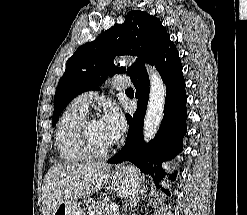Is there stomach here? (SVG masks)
<instances>
[{
  "label": "stomach",
  "instance_id": "1",
  "mask_svg": "<svg viewBox=\"0 0 247 215\" xmlns=\"http://www.w3.org/2000/svg\"><path fill=\"white\" fill-rule=\"evenodd\" d=\"M113 190L120 197H135L143 192L141 179L135 168L122 167L108 178ZM83 209L76 200H65L58 204L52 215H82Z\"/></svg>",
  "mask_w": 247,
  "mask_h": 215
}]
</instances>
